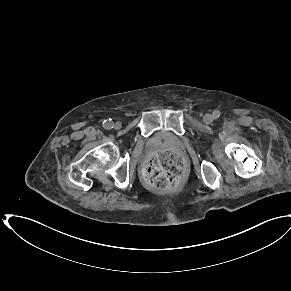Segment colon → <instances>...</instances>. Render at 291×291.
<instances>
[{
  "label": "colon",
  "instance_id": "1",
  "mask_svg": "<svg viewBox=\"0 0 291 291\" xmlns=\"http://www.w3.org/2000/svg\"><path fill=\"white\" fill-rule=\"evenodd\" d=\"M182 169L179 156L170 151L150 156L144 164L143 175L147 183L159 190L174 187Z\"/></svg>",
  "mask_w": 291,
  "mask_h": 291
}]
</instances>
